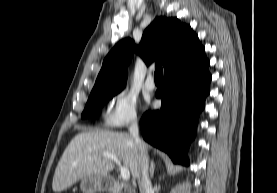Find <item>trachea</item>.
<instances>
[{
  "mask_svg": "<svg viewBox=\"0 0 277 193\" xmlns=\"http://www.w3.org/2000/svg\"><path fill=\"white\" fill-rule=\"evenodd\" d=\"M154 79L155 81H162L163 80V69L162 66L157 67L155 73H154Z\"/></svg>",
  "mask_w": 277,
  "mask_h": 193,
  "instance_id": "3493384b",
  "label": "trachea"
}]
</instances>
